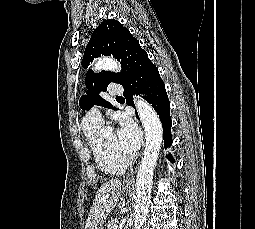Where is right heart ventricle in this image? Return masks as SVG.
<instances>
[{
	"instance_id": "right-heart-ventricle-1",
	"label": "right heart ventricle",
	"mask_w": 255,
	"mask_h": 229,
	"mask_svg": "<svg viewBox=\"0 0 255 229\" xmlns=\"http://www.w3.org/2000/svg\"><path fill=\"white\" fill-rule=\"evenodd\" d=\"M101 126H84L82 128L89 149L98 168L107 175L118 176L124 173L126 165L114 159L105 149L104 142L99 137Z\"/></svg>"
}]
</instances>
